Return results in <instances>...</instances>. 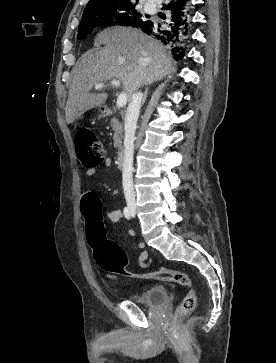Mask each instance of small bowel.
<instances>
[{
  "instance_id": "small-bowel-1",
  "label": "small bowel",
  "mask_w": 276,
  "mask_h": 363,
  "mask_svg": "<svg viewBox=\"0 0 276 363\" xmlns=\"http://www.w3.org/2000/svg\"><path fill=\"white\" fill-rule=\"evenodd\" d=\"M110 164H111V160L109 158H107L99 165V167H101V168L108 167ZM96 172H97V169L95 167H90L86 171V175L88 177H91V176H94L96 174ZM99 205H100V202L98 199V195L95 191H92V190L83 191L82 210L86 216L88 215L89 212L97 211ZM107 218L110 222H113V223H116L119 225L122 224V213L119 210H114V211L109 212L107 214ZM133 235H134L133 232H129L130 237H133ZM136 246L139 249H141V253L138 258L139 265L144 269L148 268L151 265L152 260L148 255L145 243L142 241H137ZM126 274L127 273L115 274V273L107 272L105 274V277L109 280H118V279H121ZM134 276H139V274H134Z\"/></svg>"
}]
</instances>
